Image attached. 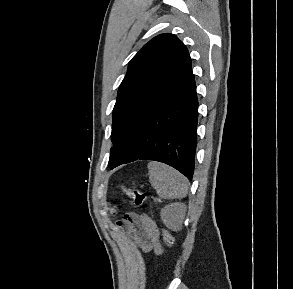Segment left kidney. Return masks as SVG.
I'll list each match as a JSON object with an SVG mask.
<instances>
[{
	"instance_id": "obj_1",
	"label": "left kidney",
	"mask_w": 293,
	"mask_h": 289,
	"mask_svg": "<svg viewBox=\"0 0 293 289\" xmlns=\"http://www.w3.org/2000/svg\"><path fill=\"white\" fill-rule=\"evenodd\" d=\"M186 212V206L182 203H171L161 210V219L163 223L172 230H177L183 221Z\"/></svg>"
}]
</instances>
